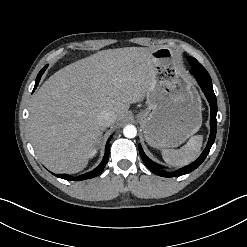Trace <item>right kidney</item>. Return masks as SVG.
<instances>
[{"label": "right kidney", "mask_w": 247, "mask_h": 247, "mask_svg": "<svg viewBox=\"0 0 247 247\" xmlns=\"http://www.w3.org/2000/svg\"><path fill=\"white\" fill-rule=\"evenodd\" d=\"M96 153H97V149L95 148V149H93V150L90 152L89 157H90V158L94 157V156L96 155Z\"/></svg>", "instance_id": "ca27d5eb"}]
</instances>
